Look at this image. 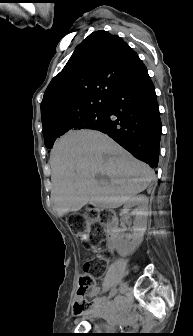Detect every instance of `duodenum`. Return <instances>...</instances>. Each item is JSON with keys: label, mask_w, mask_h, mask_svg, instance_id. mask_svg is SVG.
Wrapping results in <instances>:
<instances>
[{"label": "duodenum", "mask_w": 193, "mask_h": 336, "mask_svg": "<svg viewBox=\"0 0 193 336\" xmlns=\"http://www.w3.org/2000/svg\"><path fill=\"white\" fill-rule=\"evenodd\" d=\"M116 227H117V220L115 218H112L111 222L109 224V229L111 231H113ZM113 248H114V246H113V237H112V235H110V241H109L108 249H109L110 252H112Z\"/></svg>", "instance_id": "1"}]
</instances>
